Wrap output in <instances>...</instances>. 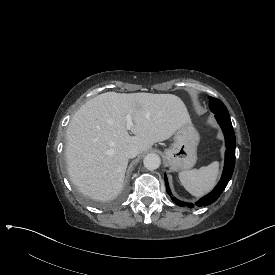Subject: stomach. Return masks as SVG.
<instances>
[{"label":"stomach","mask_w":275,"mask_h":275,"mask_svg":"<svg viewBox=\"0 0 275 275\" xmlns=\"http://www.w3.org/2000/svg\"><path fill=\"white\" fill-rule=\"evenodd\" d=\"M174 140L173 146L165 153L169 167L174 171L190 170L196 163V150L200 142V133L190 116L178 126Z\"/></svg>","instance_id":"0dacf381"}]
</instances>
